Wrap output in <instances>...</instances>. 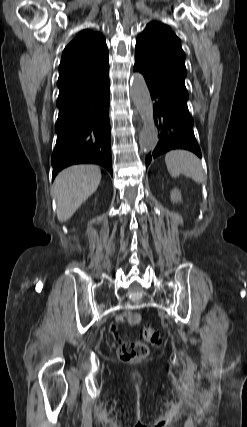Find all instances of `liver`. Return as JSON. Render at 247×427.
I'll list each match as a JSON object with an SVG mask.
<instances>
[{
	"mask_svg": "<svg viewBox=\"0 0 247 427\" xmlns=\"http://www.w3.org/2000/svg\"><path fill=\"white\" fill-rule=\"evenodd\" d=\"M101 171L95 165H74L61 171L54 181L57 218L67 221L98 188Z\"/></svg>",
	"mask_w": 247,
	"mask_h": 427,
	"instance_id": "liver-1",
	"label": "liver"
}]
</instances>
